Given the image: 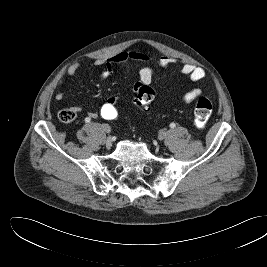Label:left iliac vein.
I'll use <instances>...</instances> for the list:
<instances>
[{"label":"left iliac vein","instance_id":"left-iliac-vein-1","mask_svg":"<svg viewBox=\"0 0 267 267\" xmlns=\"http://www.w3.org/2000/svg\"><path fill=\"white\" fill-rule=\"evenodd\" d=\"M167 136H168V132H167V131H161V132H159V134H158V138H159V140H164V139L167 138Z\"/></svg>","mask_w":267,"mask_h":267}]
</instances>
